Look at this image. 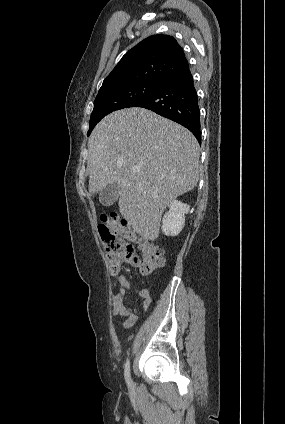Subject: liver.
Returning <instances> with one entry per match:
<instances>
[{
	"instance_id": "1",
	"label": "liver",
	"mask_w": 285,
	"mask_h": 424,
	"mask_svg": "<svg viewBox=\"0 0 285 424\" xmlns=\"http://www.w3.org/2000/svg\"><path fill=\"white\" fill-rule=\"evenodd\" d=\"M88 149L90 193L117 182L120 214L145 239L158 238L166 206L198 182L194 135L144 108L107 115L91 133ZM133 167L139 172L133 173Z\"/></svg>"
}]
</instances>
